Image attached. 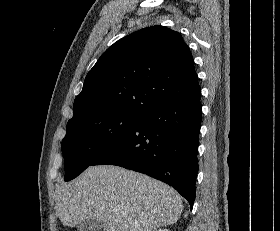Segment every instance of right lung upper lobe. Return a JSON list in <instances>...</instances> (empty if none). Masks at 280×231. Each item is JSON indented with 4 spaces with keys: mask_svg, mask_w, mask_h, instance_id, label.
Masks as SVG:
<instances>
[{
    "mask_svg": "<svg viewBox=\"0 0 280 231\" xmlns=\"http://www.w3.org/2000/svg\"><path fill=\"white\" fill-rule=\"evenodd\" d=\"M199 93L193 57L182 36L164 26L147 27L101 55L74 101L72 119L142 117L158 105Z\"/></svg>",
    "mask_w": 280,
    "mask_h": 231,
    "instance_id": "cb5924a9",
    "label": "right lung upper lobe"
}]
</instances>
